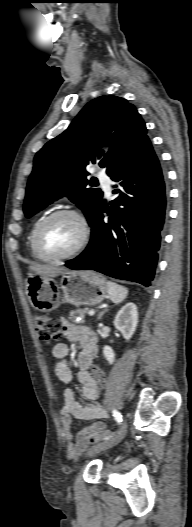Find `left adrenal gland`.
<instances>
[{
  "label": "left adrenal gland",
  "instance_id": "a2214340",
  "mask_svg": "<svg viewBox=\"0 0 192 527\" xmlns=\"http://www.w3.org/2000/svg\"><path fill=\"white\" fill-rule=\"evenodd\" d=\"M107 311V309L103 310L102 312H100L98 314V319H101V317L103 316L104 312Z\"/></svg>",
  "mask_w": 192,
  "mask_h": 527
}]
</instances>
